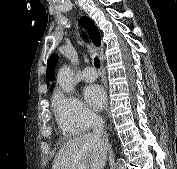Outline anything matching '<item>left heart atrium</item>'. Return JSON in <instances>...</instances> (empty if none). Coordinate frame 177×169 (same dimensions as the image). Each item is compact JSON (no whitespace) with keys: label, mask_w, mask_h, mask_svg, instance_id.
<instances>
[{"label":"left heart atrium","mask_w":177,"mask_h":169,"mask_svg":"<svg viewBox=\"0 0 177 169\" xmlns=\"http://www.w3.org/2000/svg\"><path fill=\"white\" fill-rule=\"evenodd\" d=\"M84 98L93 110H101L106 104V93L100 85H89L84 90Z\"/></svg>","instance_id":"obj_1"}]
</instances>
